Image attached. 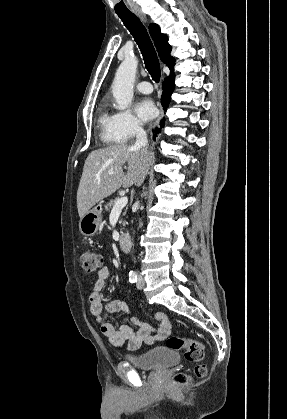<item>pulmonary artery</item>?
<instances>
[{
    "label": "pulmonary artery",
    "mask_w": 287,
    "mask_h": 419,
    "mask_svg": "<svg viewBox=\"0 0 287 419\" xmlns=\"http://www.w3.org/2000/svg\"><path fill=\"white\" fill-rule=\"evenodd\" d=\"M136 89L143 94H149L153 90L152 85L147 81L138 83Z\"/></svg>",
    "instance_id": "pulmonary-artery-1"
}]
</instances>
